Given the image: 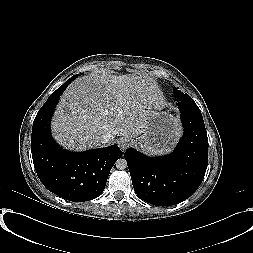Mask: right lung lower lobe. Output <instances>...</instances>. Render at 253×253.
I'll return each instance as SVG.
<instances>
[{"instance_id": "right-lung-lower-lobe-1", "label": "right lung lower lobe", "mask_w": 253, "mask_h": 253, "mask_svg": "<svg viewBox=\"0 0 253 253\" xmlns=\"http://www.w3.org/2000/svg\"><path fill=\"white\" fill-rule=\"evenodd\" d=\"M74 79L71 77L54 91L38 111L32 127L31 152L37 175L49 191L70 201L83 202L102 194L110 170L122 151L113 145L73 153L53 140L51 117L60 96Z\"/></svg>"}]
</instances>
